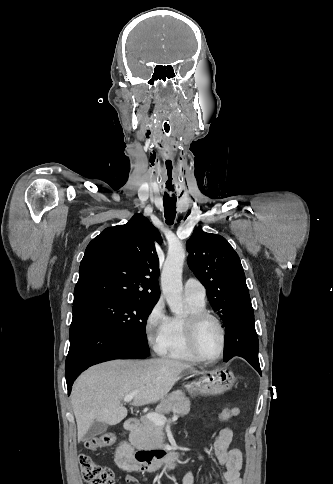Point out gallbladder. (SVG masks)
Here are the masks:
<instances>
[{
  "instance_id": "1",
  "label": "gallbladder",
  "mask_w": 333,
  "mask_h": 484,
  "mask_svg": "<svg viewBox=\"0 0 333 484\" xmlns=\"http://www.w3.org/2000/svg\"><path fill=\"white\" fill-rule=\"evenodd\" d=\"M107 428H108V425L104 422H100V421H95L89 428V430L87 431V433L85 434L84 438H83V441L84 442H87L89 441L90 439L98 436V435H101L103 434L104 432L107 431Z\"/></svg>"
}]
</instances>
